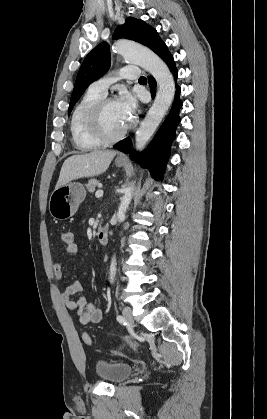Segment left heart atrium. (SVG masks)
<instances>
[{"label":"left heart atrium","instance_id":"39dd6f15","mask_svg":"<svg viewBox=\"0 0 267 419\" xmlns=\"http://www.w3.org/2000/svg\"><path fill=\"white\" fill-rule=\"evenodd\" d=\"M118 103H119L124 119L127 122H130L136 112V107H137L134 96L129 93H125L118 100Z\"/></svg>","mask_w":267,"mask_h":419}]
</instances>
